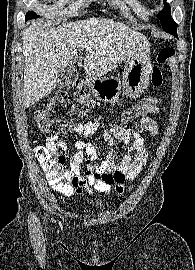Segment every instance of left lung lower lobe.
<instances>
[{
  "instance_id": "0a47b994",
  "label": "left lung lower lobe",
  "mask_w": 195,
  "mask_h": 270,
  "mask_svg": "<svg viewBox=\"0 0 195 270\" xmlns=\"http://www.w3.org/2000/svg\"><path fill=\"white\" fill-rule=\"evenodd\" d=\"M173 35L177 37V34H173Z\"/></svg>"
}]
</instances>
